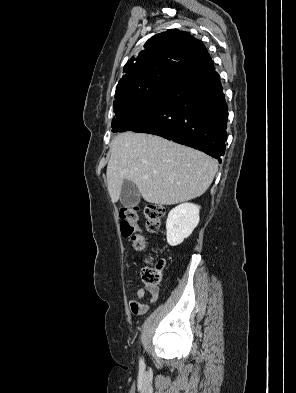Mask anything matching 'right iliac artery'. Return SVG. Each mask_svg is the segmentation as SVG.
I'll list each match as a JSON object with an SVG mask.
<instances>
[{"label": "right iliac artery", "instance_id": "right-iliac-artery-1", "mask_svg": "<svg viewBox=\"0 0 296 393\" xmlns=\"http://www.w3.org/2000/svg\"><path fill=\"white\" fill-rule=\"evenodd\" d=\"M140 364H143V361H142V360H140Z\"/></svg>", "mask_w": 296, "mask_h": 393}]
</instances>
